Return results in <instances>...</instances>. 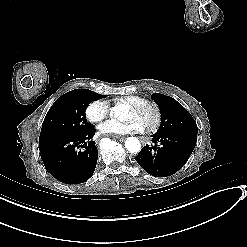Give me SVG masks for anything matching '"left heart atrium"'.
Returning <instances> with one entry per match:
<instances>
[{
  "instance_id": "1",
  "label": "left heart atrium",
  "mask_w": 247,
  "mask_h": 247,
  "mask_svg": "<svg viewBox=\"0 0 247 247\" xmlns=\"http://www.w3.org/2000/svg\"><path fill=\"white\" fill-rule=\"evenodd\" d=\"M141 130L142 128L137 120H132L128 123H116L109 121L98 127V135L99 137H104L107 135H125L137 133Z\"/></svg>"
}]
</instances>
